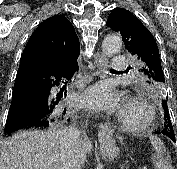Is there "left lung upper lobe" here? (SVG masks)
I'll return each mask as SVG.
<instances>
[{"mask_svg":"<svg viewBox=\"0 0 177 169\" xmlns=\"http://www.w3.org/2000/svg\"><path fill=\"white\" fill-rule=\"evenodd\" d=\"M106 25L122 35L125 48L140 62L139 74L146 80L150 88L160 94L165 83L164 73L161 67L157 43L150 31L142 22L126 9L116 8L108 17ZM167 122L163 130H171L174 133L169 119L167 102L163 101Z\"/></svg>","mask_w":177,"mask_h":169,"instance_id":"obj_1","label":"left lung upper lobe"}]
</instances>
